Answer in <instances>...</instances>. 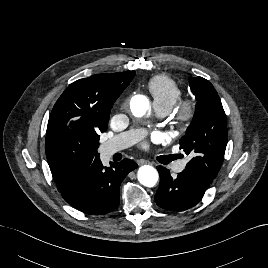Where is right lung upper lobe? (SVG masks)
<instances>
[{"label":"right lung upper lobe","instance_id":"1","mask_svg":"<svg viewBox=\"0 0 268 268\" xmlns=\"http://www.w3.org/2000/svg\"><path fill=\"white\" fill-rule=\"evenodd\" d=\"M134 76L135 71L99 74L70 84L53 107L46 135L54 131L80 133L92 126L108 128L111 108ZM84 172L74 177L52 174L64 198L73 191Z\"/></svg>","mask_w":268,"mask_h":268}]
</instances>
